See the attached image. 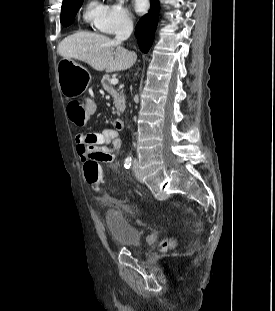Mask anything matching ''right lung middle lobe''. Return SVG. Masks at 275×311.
Listing matches in <instances>:
<instances>
[{
    "label": "right lung middle lobe",
    "mask_w": 275,
    "mask_h": 311,
    "mask_svg": "<svg viewBox=\"0 0 275 311\" xmlns=\"http://www.w3.org/2000/svg\"><path fill=\"white\" fill-rule=\"evenodd\" d=\"M83 0H64L61 8V23L64 26H69L82 5Z\"/></svg>",
    "instance_id": "obj_1"
}]
</instances>
